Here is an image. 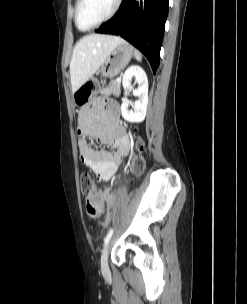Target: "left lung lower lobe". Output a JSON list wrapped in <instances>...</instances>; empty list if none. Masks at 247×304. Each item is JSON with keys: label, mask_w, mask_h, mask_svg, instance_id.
<instances>
[{"label": "left lung lower lobe", "mask_w": 247, "mask_h": 304, "mask_svg": "<svg viewBox=\"0 0 247 304\" xmlns=\"http://www.w3.org/2000/svg\"><path fill=\"white\" fill-rule=\"evenodd\" d=\"M168 9L169 0H122L115 16L95 32L123 37L147 57L156 73Z\"/></svg>", "instance_id": "1"}]
</instances>
